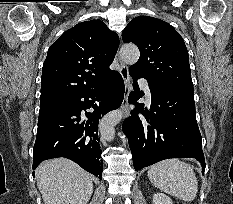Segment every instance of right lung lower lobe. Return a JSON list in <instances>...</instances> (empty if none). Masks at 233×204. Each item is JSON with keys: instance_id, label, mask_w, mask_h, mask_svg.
<instances>
[{"instance_id": "right-lung-lower-lobe-1", "label": "right lung lower lobe", "mask_w": 233, "mask_h": 204, "mask_svg": "<svg viewBox=\"0 0 233 204\" xmlns=\"http://www.w3.org/2000/svg\"><path fill=\"white\" fill-rule=\"evenodd\" d=\"M123 97L122 76L113 71L95 88L69 98L67 105L61 110L38 121L33 169L46 159L65 157L102 179L99 119L118 108ZM90 107H93V113L86 112V117L81 115L82 110Z\"/></svg>"}]
</instances>
